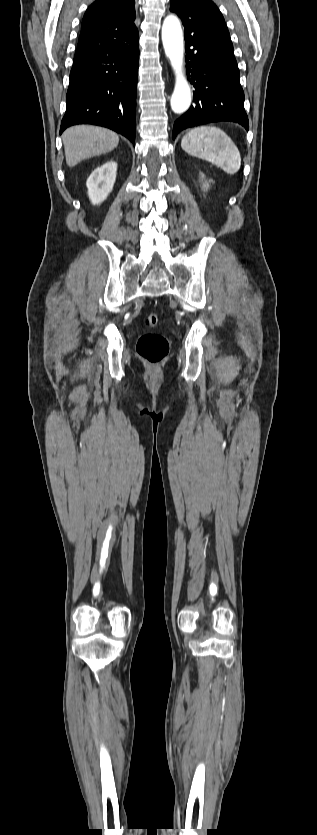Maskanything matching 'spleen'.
Listing matches in <instances>:
<instances>
[{"label": "spleen", "mask_w": 317, "mask_h": 835, "mask_svg": "<svg viewBox=\"0 0 317 835\" xmlns=\"http://www.w3.org/2000/svg\"><path fill=\"white\" fill-rule=\"evenodd\" d=\"M188 154L206 160L225 173L235 174L241 166V156L231 138L215 126H199L191 129L181 141Z\"/></svg>", "instance_id": "1"}]
</instances>
